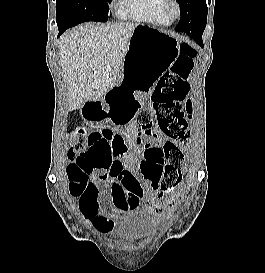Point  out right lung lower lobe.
<instances>
[{"label": "right lung lower lobe", "mask_w": 265, "mask_h": 273, "mask_svg": "<svg viewBox=\"0 0 265 273\" xmlns=\"http://www.w3.org/2000/svg\"><path fill=\"white\" fill-rule=\"evenodd\" d=\"M63 32H64V30H59V35L58 36H60Z\"/></svg>", "instance_id": "98d812e1"}]
</instances>
